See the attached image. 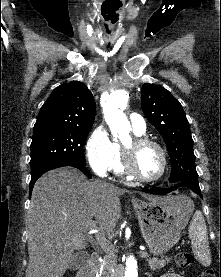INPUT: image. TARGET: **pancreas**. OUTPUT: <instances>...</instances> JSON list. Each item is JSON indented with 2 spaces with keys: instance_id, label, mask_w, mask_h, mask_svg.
<instances>
[{
  "instance_id": "cf45deb5",
  "label": "pancreas",
  "mask_w": 221,
  "mask_h": 277,
  "mask_svg": "<svg viewBox=\"0 0 221 277\" xmlns=\"http://www.w3.org/2000/svg\"><path fill=\"white\" fill-rule=\"evenodd\" d=\"M105 252V261L103 263L102 277H115L112 273V270L116 267V250L114 246L107 242L106 246L103 248ZM148 256V255H146ZM171 258L165 257L161 259L157 258H148V266L151 270H160L166 264L170 262Z\"/></svg>"
}]
</instances>
